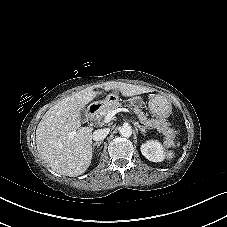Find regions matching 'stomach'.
<instances>
[{"mask_svg": "<svg viewBox=\"0 0 227 227\" xmlns=\"http://www.w3.org/2000/svg\"><path fill=\"white\" fill-rule=\"evenodd\" d=\"M119 99L118 91H114L111 94H109L106 97V100L104 102H101L102 104H115L117 103ZM132 102H139V98L135 97L131 100ZM149 109L151 113L156 117L157 119H166L169 117L172 111V105L169 102V100L160 94H153L149 98Z\"/></svg>", "mask_w": 227, "mask_h": 227, "instance_id": "0dacf381", "label": "stomach"}]
</instances>
